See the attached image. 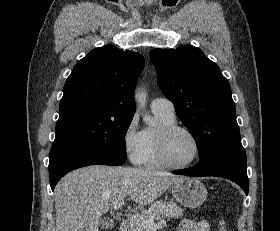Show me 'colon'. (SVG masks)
<instances>
[{
	"instance_id": "5ec220e1",
	"label": "colon",
	"mask_w": 280,
	"mask_h": 231,
	"mask_svg": "<svg viewBox=\"0 0 280 231\" xmlns=\"http://www.w3.org/2000/svg\"><path fill=\"white\" fill-rule=\"evenodd\" d=\"M219 231H226V228H225V224L223 221L220 222V228H219Z\"/></svg>"
}]
</instances>
